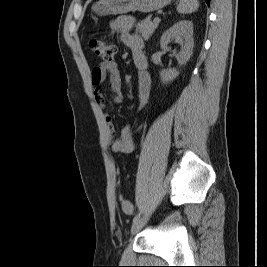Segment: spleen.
Wrapping results in <instances>:
<instances>
[{
  "label": "spleen",
  "mask_w": 267,
  "mask_h": 267,
  "mask_svg": "<svg viewBox=\"0 0 267 267\" xmlns=\"http://www.w3.org/2000/svg\"><path fill=\"white\" fill-rule=\"evenodd\" d=\"M199 8L198 0H180L177 6V11L180 14H189Z\"/></svg>",
  "instance_id": "obj_1"
}]
</instances>
